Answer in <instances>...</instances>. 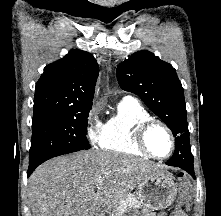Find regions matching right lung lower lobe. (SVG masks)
Listing matches in <instances>:
<instances>
[{
    "instance_id": "1",
    "label": "right lung lower lobe",
    "mask_w": 221,
    "mask_h": 216,
    "mask_svg": "<svg viewBox=\"0 0 221 216\" xmlns=\"http://www.w3.org/2000/svg\"><path fill=\"white\" fill-rule=\"evenodd\" d=\"M38 165H29V168H28V172H27V176L29 177L31 175V173L35 170V168L37 167Z\"/></svg>"
}]
</instances>
